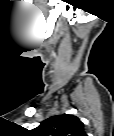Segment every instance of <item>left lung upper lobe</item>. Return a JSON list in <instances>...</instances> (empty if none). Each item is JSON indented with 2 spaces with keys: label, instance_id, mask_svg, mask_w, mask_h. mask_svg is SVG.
Here are the masks:
<instances>
[{
  "label": "left lung upper lobe",
  "instance_id": "left-lung-upper-lobe-1",
  "mask_svg": "<svg viewBox=\"0 0 114 136\" xmlns=\"http://www.w3.org/2000/svg\"><path fill=\"white\" fill-rule=\"evenodd\" d=\"M37 136H84V125L77 116L63 114L41 122L35 128Z\"/></svg>",
  "mask_w": 114,
  "mask_h": 136
}]
</instances>
